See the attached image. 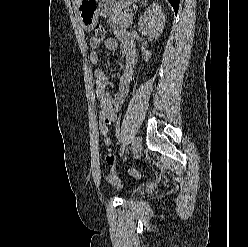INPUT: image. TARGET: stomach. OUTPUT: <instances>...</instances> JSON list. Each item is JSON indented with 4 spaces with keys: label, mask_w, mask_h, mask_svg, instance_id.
<instances>
[{
    "label": "stomach",
    "mask_w": 248,
    "mask_h": 247,
    "mask_svg": "<svg viewBox=\"0 0 248 247\" xmlns=\"http://www.w3.org/2000/svg\"><path fill=\"white\" fill-rule=\"evenodd\" d=\"M137 0H81L77 5L76 16L85 31H92L98 17L108 16L114 11L125 9Z\"/></svg>",
    "instance_id": "1"
}]
</instances>
